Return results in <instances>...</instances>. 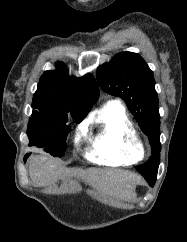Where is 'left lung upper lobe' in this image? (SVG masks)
Returning <instances> with one entry per match:
<instances>
[{"label":"left lung upper lobe","instance_id":"obj_1","mask_svg":"<svg viewBox=\"0 0 187 242\" xmlns=\"http://www.w3.org/2000/svg\"><path fill=\"white\" fill-rule=\"evenodd\" d=\"M100 87L127 104L141 130L148 135L152 156L136 170L156 176L160 163V115L153 72L137 53L122 52L97 69Z\"/></svg>","mask_w":187,"mask_h":242}]
</instances>
